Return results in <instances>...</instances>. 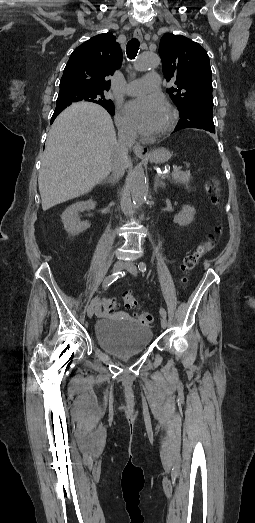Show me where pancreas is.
Wrapping results in <instances>:
<instances>
[{
  "label": "pancreas",
  "mask_w": 255,
  "mask_h": 523,
  "mask_svg": "<svg viewBox=\"0 0 255 523\" xmlns=\"http://www.w3.org/2000/svg\"><path fill=\"white\" fill-rule=\"evenodd\" d=\"M171 178H172V180H175V182H178V184H189V180H190L191 176H190L189 172H186V174H184V173L175 174L174 172H172Z\"/></svg>",
  "instance_id": "obj_1"
}]
</instances>
